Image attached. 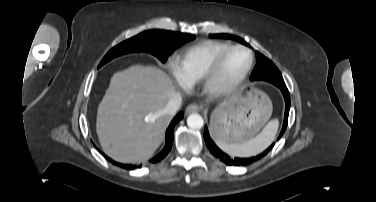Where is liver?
<instances>
[{"label":"liver","mask_w":376,"mask_h":202,"mask_svg":"<svg viewBox=\"0 0 376 202\" xmlns=\"http://www.w3.org/2000/svg\"><path fill=\"white\" fill-rule=\"evenodd\" d=\"M176 93L157 66L134 65L116 72L97 112L96 131L105 154L121 163L148 160L162 143L171 121L162 110Z\"/></svg>","instance_id":"6515ba94"}]
</instances>
